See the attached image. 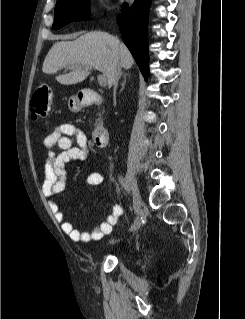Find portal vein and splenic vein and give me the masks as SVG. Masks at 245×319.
Wrapping results in <instances>:
<instances>
[{"instance_id": "1", "label": "portal vein and splenic vein", "mask_w": 245, "mask_h": 319, "mask_svg": "<svg viewBox=\"0 0 245 319\" xmlns=\"http://www.w3.org/2000/svg\"><path fill=\"white\" fill-rule=\"evenodd\" d=\"M87 70H92V67H86ZM97 69V68H94ZM98 70V69H97ZM98 83L100 84V86H106L107 82H106V77L104 75H98L97 77Z\"/></svg>"}]
</instances>
